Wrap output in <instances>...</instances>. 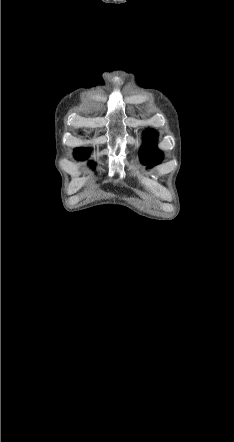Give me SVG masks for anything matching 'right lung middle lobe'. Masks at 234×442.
Here are the masks:
<instances>
[{"instance_id":"dd1d6c3e","label":"right lung middle lobe","mask_w":234,"mask_h":442,"mask_svg":"<svg viewBox=\"0 0 234 442\" xmlns=\"http://www.w3.org/2000/svg\"><path fill=\"white\" fill-rule=\"evenodd\" d=\"M89 150L88 149H75L74 151V156L78 159V160H84L87 159L89 156Z\"/></svg>"}]
</instances>
